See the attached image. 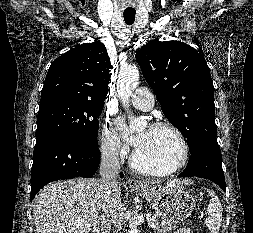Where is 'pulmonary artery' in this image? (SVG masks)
Masks as SVG:
<instances>
[{
	"instance_id": "e3ab8cb5",
	"label": "pulmonary artery",
	"mask_w": 253,
	"mask_h": 233,
	"mask_svg": "<svg viewBox=\"0 0 253 233\" xmlns=\"http://www.w3.org/2000/svg\"><path fill=\"white\" fill-rule=\"evenodd\" d=\"M130 102L139 110L150 111L154 107V96L148 88L141 87L132 94Z\"/></svg>"
}]
</instances>
